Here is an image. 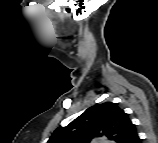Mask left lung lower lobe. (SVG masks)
Returning <instances> with one entry per match:
<instances>
[{"instance_id":"left-lung-lower-lobe-1","label":"left lung lower lobe","mask_w":158,"mask_h":143,"mask_svg":"<svg viewBox=\"0 0 158 143\" xmlns=\"http://www.w3.org/2000/svg\"><path fill=\"white\" fill-rule=\"evenodd\" d=\"M140 140H139V137H137L133 143H138Z\"/></svg>"}]
</instances>
